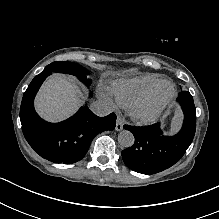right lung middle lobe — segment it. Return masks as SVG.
Returning a JSON list of instances; mask_svg holds the SVG:
<instances>
[{"instance_id": "1", "label": "right lung middle lobe", "mask_w": 219, "mask_h": 219, "mask_svg": "<svg viewBox=\"0 0 219 219\" xmlns=\"http://www.w3.org/2000/svg\"><path fill=\"white\" fill-rule=\"evenodd\" d=\"M44 71L71 74L78 77L86 85L91 84V79L87 78L89 71L84 67L72 62H53L45 67Z\"/></svg>"}]
</instances>
